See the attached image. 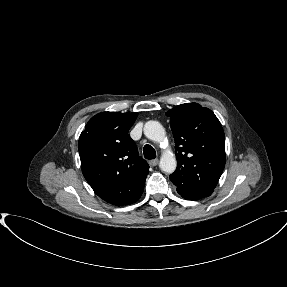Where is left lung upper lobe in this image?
<instances>
[{"mask_svg":"<svg viewBox=\"0 0 287 287\" xmlns=\"http://www.w3.org/2000/svg\"><path fill=\"white\" fill-rule=\"evenodd\" d=\"M175 140L177 168L169 178L179 189L211 194L223 172V128L208 108L181 104L166 113Z\"/></svg>","mask_w":287,"mask_h":287,"instance_id":"obj_1","label":"left lung upper lobe"}]
</instances>
